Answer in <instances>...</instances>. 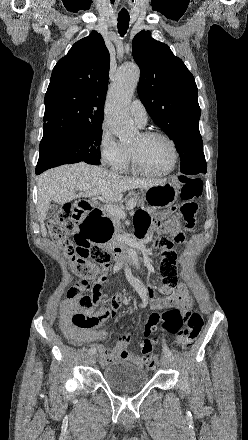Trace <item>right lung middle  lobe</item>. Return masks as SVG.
<instances>
[{"label":"right lung middle lobe","mask_w":248,"mask_h":440,"mask_svg":"<svg viewBox=\"0 0 248 440\" xmlns=\"http://www.w3.org/2000/svg\"><path fill=\"white\" fill-rule=\"evenodd\" d=\"M101 127L102 125H97L81 131L43 137L36 174L59 165L80 161L100 164Z\"/></svg>","instance_id":"right-lung-middle-lobe-1"}]
</instances>
